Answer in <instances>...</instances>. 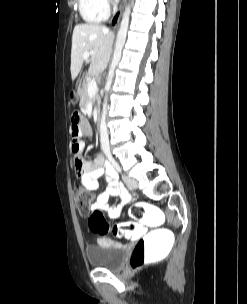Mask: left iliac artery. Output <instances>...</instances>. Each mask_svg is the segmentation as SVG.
<instances>
[{
    "label": "left iliac artery",
    "mask_w": 247,
    "mask_h": 304,
    "mask_svg": "<svg viewBox=\"0 0 247 304\" xmlns=\"http://www.w3.org/2000/svg\"><path fill=\"white\" fill-rule=\"evenodd\" d=\"M109 160H110L111 164L116 168V170L121 173V168H120L119 164L115 161V159L112 156H110Z\"/></svg>",
    "instance_id": "1"
}]
</instances>
